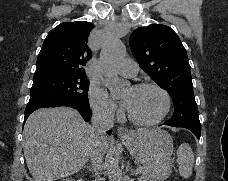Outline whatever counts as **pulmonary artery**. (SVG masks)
Instances as JSON below:
<instances>
[{
	"mask_svg": "<svg viewBox=\"0 0 228 181\" xmlns=\"http://www.w3.org/2000/svg\"><path fill=\"white\" fill-rule=\"evenodd\" d=\"M122 62H125V65L118 66V69L124 70V75L134 77L135 71H137V62H131V57L122 58Z\"/></svg>",
	"mask_w": 228,
	"mask_h": 181,
	"instance_id": "pulmonary-artery-1",
	"label": "pulmonary artery"
}]
</instances>
